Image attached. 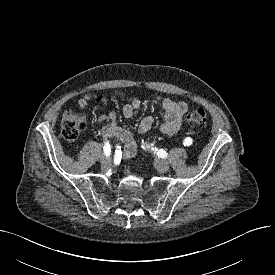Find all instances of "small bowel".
<instances>
[{
    "mask_svg": "<svg viewBox=\"0 0 275 275\" xmlns=\"http://www.w3.org/2000/svg\"><path fill=\"white\" fill-rule=\"evenodd\" d=\"M92 94L83 95L78 104L80 108H84L91 100ZM160 107L164 112V119L160 125V130L168 137L173 136L182 126L183 117L188 109V105L183 101H173L167 98H159ZM141 106V101L138 98H133L128 104L124 105L122 114L125 118H130L134 112ZM104 125L102 127V136L104 139L116 137L125 143L123 156L131 158L136 152V144L129 131L121 128L117 123V117L114 112H109L102 119ZM154 125V119L151 116L144 117L139 124V133H147Z\"/></svg>",
    "mask_w": 275,
    "mask_h": 275,
    "instance_id": "small-bowel-1",
    "label": "small bowel"
}]
</instances>
